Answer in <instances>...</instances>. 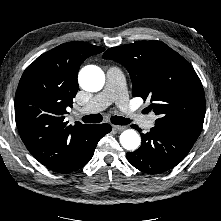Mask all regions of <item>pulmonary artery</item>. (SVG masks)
I'll return each instance as SVG.
<instances>
[{
    "instance_id": "obj_1",
    "label": "pulmonary artery",
    "mask_w": 221,
    "mask_h": 221,
    "mask_svg": "<svg viewBox=\"0 0 221 221\" xmlns=\"http://www.w3.org/2000/svg\"><path fill=\"white\" fill-rule=\"evenodd\" d=\"M112 103H116L123 112L128 114L130 119L139 121L143 127L150 129L154 126V115L142 117L130 107L125 79L123 73L117 67H110L107 70L104 89L96 94L90 103L80 111L81 113H96Z\"/></svg>"
}]
</instances>
